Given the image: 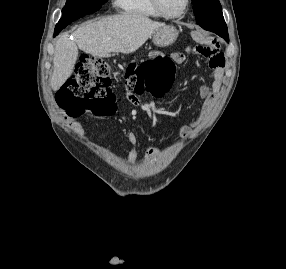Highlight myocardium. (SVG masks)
I'll use <instances>...</instances> for the list:
<instances>
[{
    "label": "myocardium",
    "instance_id": "myocardium-1",
    "mask_svg": "<svg viewBox=\"0 0 286 269\" xmlns=\"http://www.w3.org/2000/svg\"><path fill=\"white\" fill-rule=\"evenodd\" d=\"M152 5L155 8V10L159 13L160 16L165 17L167 19H177L181 18L188 10L191 0H185V5L181 12L177 14H170L168 13L162 6L161 0H151Z\"/></svg>",
    "mask_w": 286,
    "mask_h": 269
}]
</instances>
